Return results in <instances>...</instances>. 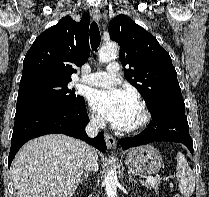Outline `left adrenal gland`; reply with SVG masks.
Instances as JSON below:
<instances>
[{
    "mask_svg": "<svg viewBox=\"0 0 209 197\" xmlns=\"http://www.w3.org/2000/svg\"><path fill=\"white\" fill-rule=\"evenodd\" d=\"M128 176H129V183L135 181V180L132 178V175H131L130 173L128 174Z\"/></svg>",
    "mask_w": 209,
    "mask_h": 197,
    "instance_id": "obj_1",
    "label": "left adrenal gland"
}]
</instances>
